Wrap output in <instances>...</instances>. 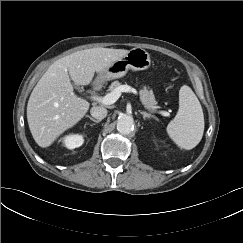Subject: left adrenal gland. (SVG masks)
<instances>
[{"label": "left adrenal gland", "mask_w": 243, "mask_h": 243, "mask_svg": "<svg viewBox=\"0 0 243 243\" xmlns=\"http://www.w3.org/2000/svg\"><path fill=\"white\" fill-rule=\"evenodd\" d=\"M140 114L143 115V118L146 119V118H154L156 119V117L154 115H151L150 113H147V112H144V111H139Z\"/></svg>", "instance_id": "a2214340"}]
</instances>
